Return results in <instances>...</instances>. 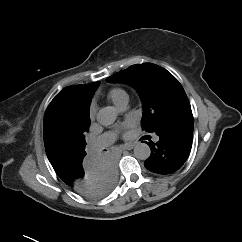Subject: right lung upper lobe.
<instances>
[{
    "label": "right lung upper lobe",
    "mask_w": 242,
    "mask_h": 242,
    "mask_svg": "<svg viewBox=\"0 0 242 242\" xmlns=\"http://www.w3.org/2000/svg\"><path fill=\"white\" fill-rule=\"evenodd\" d=\"M99 84L94 82L66 87L46 109L44 144L47 157L57 175L84 156L79 139L89 129V106Z\"/></svg>",
    "instance_id": "cb5924a9"
}]
</instances>
